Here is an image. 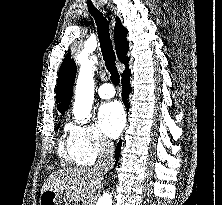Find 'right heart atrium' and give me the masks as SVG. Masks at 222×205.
Here are the masks:
<instances>
[{
    "mask_svg": "<svg viewBox=\"0 0 222 205\" xmlns=\"http://www.w3.org/2000/svg\"><path fill=\"white\" fill-rule=\"evenodd\" d=\"M68 144L84 165L93 164L111 151V143L97 125L75 123L69 127Z\"/></svg>",
    "mask_w": 222,
    "mask_h": 205,
    "instance_id": "1",
    "label": "right heart atrium"
}]
</instances>
